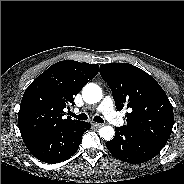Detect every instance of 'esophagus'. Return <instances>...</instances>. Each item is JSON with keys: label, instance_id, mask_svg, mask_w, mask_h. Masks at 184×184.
<instances>
[{"label": "esophagus", "instance_id": "1", "mask_svg": "<svg viewBox=\"0 0 184 184\" xmlns=\"http://www.w3.org/2000/svg\"><path fill=\"white\" fill-rule=\"evenodd\" d=\"M92 125L95 126V127H97V128H100V127L103 126V124H101V123H95V122H93Z\"/></svg>", "mask_w": 184, "mask_h": 184}]
</instances>
